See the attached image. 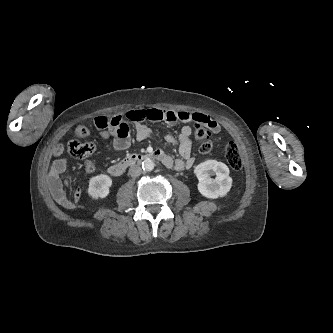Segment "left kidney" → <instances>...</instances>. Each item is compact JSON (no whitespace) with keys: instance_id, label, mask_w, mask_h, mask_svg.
Returning a JSON list of instances; mask_svg holds the SVG:
<instances>
[{"instance_id":"obj_1","label":"left kidney","mask_w":333,"mask_h":333,"mask_svg":"<svg viewBox=\"0 0 333 333\" xmlns=\"http://www.w3.org/2000/svg\"><path fill=\"white\" fill-rule=\"evenodd\" d=\"M194 173L199 180L198 191L207 198L225 196L231 189L232 178L229 168L222 162L207 160L195 167ZM216 175L214 179L210 176Z\"/></svg>"}]
</instances>
